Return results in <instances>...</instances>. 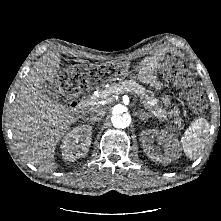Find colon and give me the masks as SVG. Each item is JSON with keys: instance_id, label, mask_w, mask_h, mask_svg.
<instances>
[{"instance_id": "obj_1", "label": "colon", "mask_w": 221, "mask_h": 221, "mask_svg": "<svg viewBox=\"0 0 221 221\" xmlns=\"http://www.w3.org/2000/svg\"><path fill=\"white\" fill-rule=\"evenodd\" d=\"M115 70L112 67L73 66L59 73L57 81L62 91L69 97L79 95L89 83L103 81ZM162 75L172 79L181 89L194 113H201L207 107L203 89L193 75L182 65L168 64L162 69Z\"/></svg>"}]
</instances>
